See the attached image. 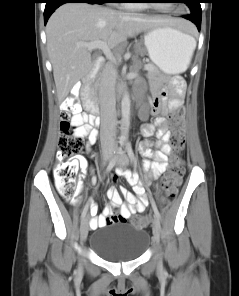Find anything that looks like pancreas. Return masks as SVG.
I'll return each instance as SVG.
<instances>
[{
	"label": "pancreas",
	"instance_id": "cf45deb5",
	"mask_svg": "<svg viewBox=\"0 0 239 296\" xmlns=\"http://www.w3.org/2000/svg\"><path fill=\"white\" fill-rule=\"evenodd\" d=\"M149 67H150V69L148 71L149 77H156V76L160 75V71L156 66H154L153 64H149Z\"/></svg>",
	"mask_w": 239,
	"mask_h": 296
}]
</instances>
